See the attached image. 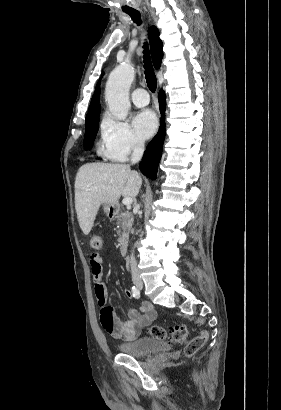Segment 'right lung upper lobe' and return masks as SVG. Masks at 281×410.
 I'll use <instances>...</instances> for the list:
<instances>
[{"instance_id": "cb5924a9", "label": "right lung upper lobe", "mask_w": 281, "mask_h": 410, "mask_svg": "<svg viewBox=\"0 0 281 410\" xmlns=\"http://www.w3.org/2000/svg\"><path fill=\"white\" fill-rule=\"evenodd\" d=\"M149 34V41H150V48H151V55L153 59V63L156 69H158L161 65L163 51H162V41L159 38V31L155 26H151L148 30ZM99 97H100V88L99 83L96 86L94 95L91 100V104L89 107V112L86 116V120L95 118L100 115L101 106L99 104Z\"/></svg>"}]
</instances>
